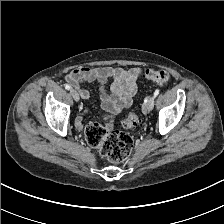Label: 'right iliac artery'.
I'll return each mask as SVG.
<instances>
[{"instance_id":"obj_1","label":"right iliac artery","mask_w":224,"mask_h":224,"mask_svg":"<svg viewBox=\"0 0 224 224\" xmlns=\"http://www.w3.org/2000/svg\"><path fill=\"white\" fill-rule=\"evenodd\" d=\"M65 89L70 90V89H71V86L68 85V84H66V85H65Z\"/></svg>"}]
</instances>
